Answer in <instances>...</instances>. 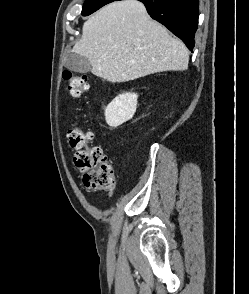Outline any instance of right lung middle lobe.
<instances>
[{
  "instance_id": "dd1d6c3e",
  "label": "right lung middle lobe",
  "mask_w": 249,
  "mask_h": 294,
  "mask_svg": "<svg viewBox=\"0 0 249 294\" xmlns=\"http://www.w3.org/2000/svg\"><path fill=\"white\" fill-rule=\"evenodd\" d=\"M113 1H116V0H86L83 5L81 14L83 16H88L92 14L93 12H95L96 10H98L99 8H101L102 6Z\"/></svg>"
}]
</instances>
